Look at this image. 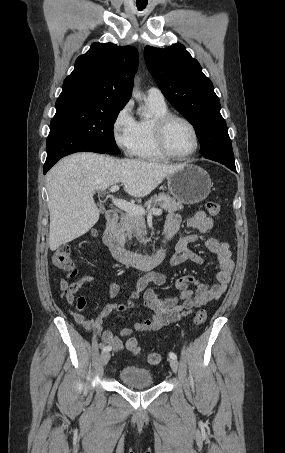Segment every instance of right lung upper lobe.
Masks as SVG:
<instances>
[{
    "label": "right lung upper lobe",
    "instance_id": "1",
    "mask_svg": "<svg viewBox=\"0 0 285 453\" xmlns=\"http://www.w3.org/2000/svg\"><path fill=\"white\" fill-rule=\"evenodd\" d=\"M137 66L136 48L93 43L77 58L57 101L99 99L125 105L131 97Z\"/></svg>",
    "mask_w": 285,
    "mask_h": 453
}]
</instances>
